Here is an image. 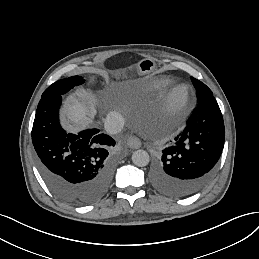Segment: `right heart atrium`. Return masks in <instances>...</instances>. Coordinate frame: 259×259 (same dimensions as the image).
<instances>
[{
    "label": "right heart atrium",
    "instance_id": "1",
    "mask_svg": "<svg viewBox=\"0 0 259 259\" xmlns=\"http://www.w3.org/2000/svg\"><path fill=\"white\" fill-rule=\"evenodd\" d=\"M127 102H128V101H127ZM128 104H129V109H130V105H131V104H130L129 102H128Z\"/></svg>",
    "mask_w": 259,
    "mask_h": 259
}]
</instances>
